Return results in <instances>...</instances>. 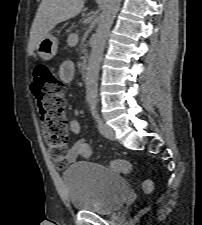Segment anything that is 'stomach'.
I'll use <instances>...</instances> for the list:
<instances>
[{
    "label": "stomach",
    "instance_id": "0dacf381",
    "mask_svg": "<svg viewBox=\"0 0 202 225\" xmlns=\"http://www.w3.org/2000/svg\"><path fill=\"white\" fill-rule=\"evenodd\" d=\"M37 54L45 61L52 59L58 50V39L51 33H47L39 42Z\"/></svg>",
    "mask_w": 202,
    "mask_h": 225
}]
</instances>
